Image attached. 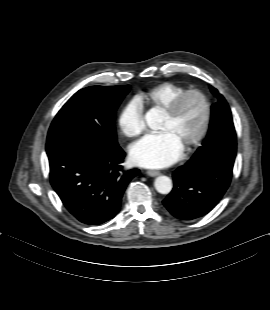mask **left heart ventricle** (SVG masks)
I'll return each instance as SVG.
<instances>
[{
	"instance_id": "obj_1",
	"label": "left heart ventricle",
	"mask_w": 270,
	"mask_h": 310,
	"mask_svg": "<svg viewBox=\"0 0 270 310\" xmlns=\"http://www.w3.org/2000/svg\"><path fill=\"white\" fill-rule=\"evenodd\" d=\"M203 117L204 107L200 98L188 96L183 101L181 109L174 119L170 120L164 115L162 116L158 131L169 133L184 149L200 131Z\"/></svg>"
}]
</instances>
